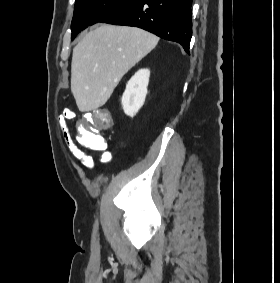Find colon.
Listing matches in <instances>:
<instances>
[{"label":"colon","instance_id":"1","mask_svg":"<svg viewBox=\"0 0 280 283\" xmlns=\"http://www.w3.org/2000/svg\"><path fill=\"white\" fill-rule=\"evenodd\" d=\"M66 113H73L70 109ZM81 119H93L98 127H88L86 121H79L76 125V138L78 142L91 150L100 151L106 146L104 137L98 132H110V127H115L111 122L113 114L110 110H85Z\"/></svg>","mask_w":280,"mask_h":283}]
</instances>
